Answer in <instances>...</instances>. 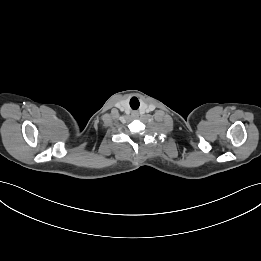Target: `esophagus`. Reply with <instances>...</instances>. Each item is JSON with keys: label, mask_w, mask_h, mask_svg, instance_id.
Returning <instances> with one entry per match:
<instances>
[{"label": "esophagus", "mask_w": 261, "mask_h": 261, "mask_svg": "<svg viewBox=\"0 0 261 261\" xmlns=\"http://www.w3.org/2000/svg\"><path fill=\"white\" fill-rule=\"evenodd\" d=\"M132 116H133L134 118H137V117L139 116V114H138V112H133V113H132Z\"/></svg>", "instance_id": "obj_1"}]
</instances>
